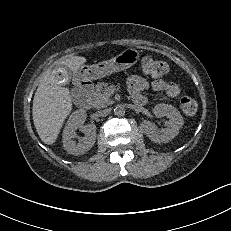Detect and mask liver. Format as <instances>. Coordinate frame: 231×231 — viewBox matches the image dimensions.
Here are the masks:
<instances>
[{"mask_svg": "<svg viewBox=\"0 0 231 231\" xmlns=\"http://www.w3.org/2000/svg\"><path fill=\"white\" fill-rule=\"evenodd\" d=\"M86 62L82 56H72L60 62V65L76 72ZM55 71L48 73L40 82L33 99L32 116L40 139L52 145L60 129L72 111L70 91L61 87L55 80Z\"/></svg>", "mask_w": 231, "mask_h": 231, "instance_id": "obj_1", "label": "liver"}]
</instances>
